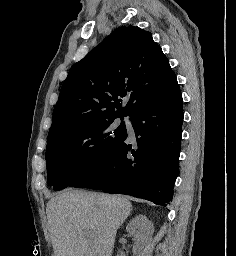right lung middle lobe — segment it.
<instances>
[{"label": "right lung middle lobe", "mask_w": 236, "mask_h": 256, "mask_svg": "<svg viewBox=\"0 0 236 256\" xmlns=\"http://www.w3.org/2000/svg\"><path fill=\"white\" fill-rule=\"evenodd\" d=\"M114 119L76 125L47 139V181L54 190L68 187L123 142L126 126L122 121L114 129Z\"/></svg>", "instance_id": "dd1d6c3e"}]
</instances>
